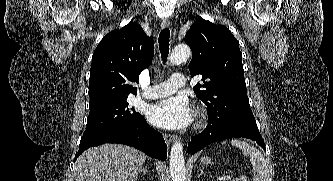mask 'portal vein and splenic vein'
Listing matches in <instances>:
<instances>
[{
	"label": "portal vein and splenic vein",
	"mask_w": 333,
	"mask_h": 181,
	"mask_svg": "<svg viewBox=\"0 0 333 181\" xmlns=\"http://www.w3.org/2000/svg\"><path fill=\"white\" fill-rule=\"evenodd\" d=\"M230 179V176L229 175H224L223 177H222V180H224V181H227V180H229Z\"/></svg>",
	"instance_id": "portal-vein-and-splenic-vein-1"
}]
</instances>
